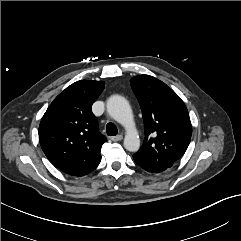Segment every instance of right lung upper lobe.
Segmentation results:
<instances>
[{"instance_id": "right-lung-upper-lobe-1", "label": "right lung upper lobe", "mask_w": 241, "mask_h": 241, "mask_svg": "<svg viewBox=\"0 0 241 241\" xmlns=\"http://www.w3.org/2000/svg\"><path fill=\"white\" fill-rule=\"evenodd\" d=\"M103 81L80 80L67 87L48 107L39 126V141L49 161L72 176L96 168L106 141L97 130L91 106Z\"/></svg>"}]
</instances>
